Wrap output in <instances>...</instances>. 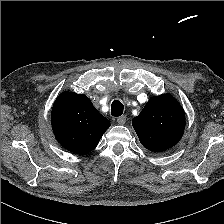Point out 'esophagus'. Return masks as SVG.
<instances>
[{
	"label": "esophagus",
	"instance_id": "obj_1",
	"mask_svg": "<svg viewBox=\"0 0 224 224\" xmlns=\"http://www.w3.org/2000/svg\"><path fill=\"white\" fill-rule=\"evenodd\" d=\"M126 119H127L126 116L125 115H122V116H120V117L117 118V123L119 125H123V124H125Z\"/></svg>",
	"mask_w": 224,
	"mask_h": 224
}]
</instances>
